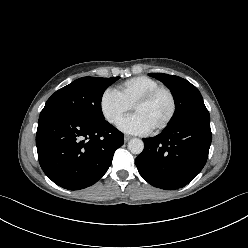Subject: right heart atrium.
<instances>
[{"mask_svg": "<svg viewBox=\"0 0 248 248\" xmlns=\"http://www.w3.org/2000/svg\"><path fill=\"white\" fill-rule=\"evenodd\" d=\"M99 105L104 119L114 126L119 124L131 109L112 89H106L101 94Z\"/></svg>", "mask_w": 248, "mask_h": 248, "instance_id": "1", "label": "right heart atrium"}]
</instances>
